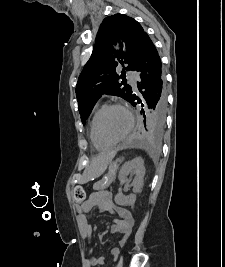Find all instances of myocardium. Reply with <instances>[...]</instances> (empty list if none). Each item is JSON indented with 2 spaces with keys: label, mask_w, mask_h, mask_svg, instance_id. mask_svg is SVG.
I'll return each instance as SVG.
<instances>
[{
  "label": "myocardium",
  "mask_w": 225,
  "mask_h": 267,
  "mask_svg": "<svg viewBox=\"0 0 225 267\" xmlns=\"http://www.w3.org/2000/svg\"><path fill=\"white\" fill-rule=\"evenodd\" d=\"M112 109L124 110L127 113L128 118H129V126H128L126 133L120 139L110 141V140L105 139L104 136L102 135L101 122H102V119L105 116V114ZM133 127H134V116H133L132 112L130 111V109L127 106L120 104V103H112V104H108V105L104 106L101 109V111L99 112V114L96 118V121H95V133L97 135V138L101 142H103L107 145H110V146H114V145H117V144L124 142L128 138V136L130 135V133L132 132Z\"/></svg>",
  "instance_id": "myocardium-1"
}]
</instances>
